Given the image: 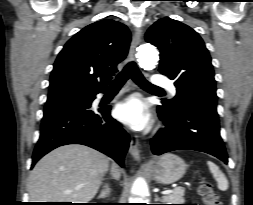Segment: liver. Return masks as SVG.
<instances>
[{
  "instance_id": "obj_1",
  "label": "liver",
  "mask_w": 253,
  "mask_h": 205,
  "mask_svg": "<svg viewBox=\"0 0 253 205\" xmlns=\"http://www.w3.org/2000/svg\"><path fill=\"white\" fill-rule=\"evenodd\" d=\"M109 169V159L87 146H61L45 155L34 166L28 180L32 202L88 203ZM111 172L119 179L120 169L113 163Z\"/></svg>"
}]
</instances>
